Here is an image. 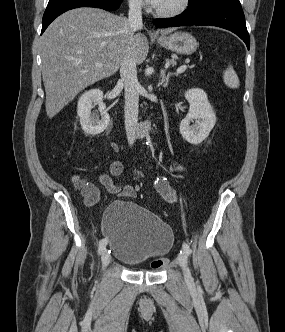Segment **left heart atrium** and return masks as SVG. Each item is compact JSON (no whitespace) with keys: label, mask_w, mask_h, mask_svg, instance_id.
Wrapping results in <instances>:
<instances>
[{"label":"left heart atrium","mask_w":285,"mask_h":332,"mask_svg":"<svg viewBox=\"0 0 285 332\" xmlns=\"http://www.w3.org/2000/svg\"><path fill=\"white\" fill-rule=\"evenodd\" d=\"M153 7L158 8L163 0H147Z\"/></svg>","instance_id":"1"}]
</instances>
